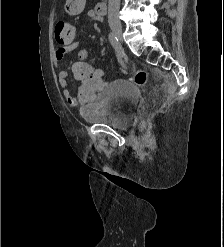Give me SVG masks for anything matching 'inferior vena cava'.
I'll return each instance as SVG.
<instances>
[{
  "mask_svg": "<svg viewBox=\"0 0 224 247\" xmlns=\"http://www.w3.org/2000/svg\"><path fill=\"white\" fill-rule=\"evenodd\" d=\"M119 8L120 0H109L108 4V22H115V24H120L119 22Z\"/></svg>",
  "mask_w": 224,
  "mask_h": 247,
  "instance_id": "1",
  "label": "inferior vena cava"
}]
</instances>
